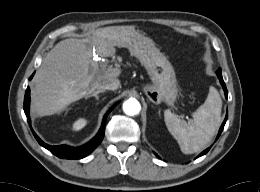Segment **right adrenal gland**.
Wrapping results in <instances>:
<instances>
[{"instance_id":"1","label":"right adrenal gland","mask_w":260,"mask_h":192,"mask_svg":"<svg viewBox=\"0 0 260 192\" xmlns=\"http://www.w3.org/2000/svg\"><path fill=\"white\" fill-rule=\"evenodd\" d=\"M103 92H104L103 90H97V91H95L93 94H91V95H89V96H86L85 98L87 99V98L94 97L96 100H98V99H99L98 94H99V93H103Z\"/></svg>"}]
</instances>
